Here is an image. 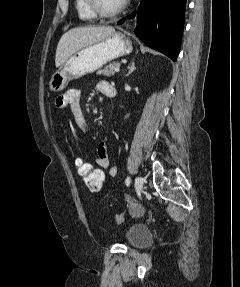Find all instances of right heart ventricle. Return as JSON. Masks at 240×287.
I'll return each mask as SVG.
<instances>
[{"mask_svg":"<svg viewBox=\"0 0 240 287\" xmlns=\"http://www.w3.org/2000/svg\"><path fill=\"white\" fill-rule=\"evenodd\" d=\"M75 9L78 17L83 21H92L97 18L91 10L88 0H75Z\"/></svg>","mask_w":240,"mask_h":287,"instance_id":"e07e8e85","label":"right heart ventricle"}]
</instances>
